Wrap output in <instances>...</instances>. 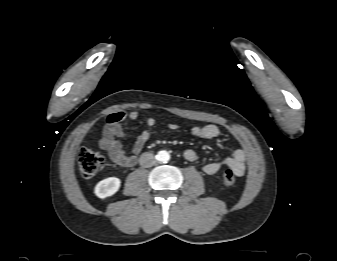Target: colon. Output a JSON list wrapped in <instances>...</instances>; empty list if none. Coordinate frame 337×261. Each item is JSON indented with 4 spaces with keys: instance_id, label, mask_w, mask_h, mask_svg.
Listing matches in <instances>:
<instances>
[{
    "instance_id": "colon-1",
    "label": "colon",
    "mask_w": 337,
    "mask_h": 261,
    "mask_svg": "<svg viewBox=\"0 0 337 261\" xmlns=\"http://www.w3.org/2000/svg\"><path fill=\"white\" fill-rule=\"evenodd\" d=\"M104 164L102 154L94 149L82 148L78 153V165L81 175L84 178H91L96 175ZM222 181L227 186L235 183V176L231 170H226L222 174Z\"/></svg>"
}]
</instances>
